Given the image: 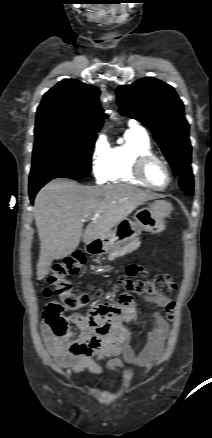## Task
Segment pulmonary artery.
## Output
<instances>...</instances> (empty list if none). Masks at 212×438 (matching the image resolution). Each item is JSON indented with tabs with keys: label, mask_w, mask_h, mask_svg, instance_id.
Wrapping results in <instances>:
<instances>
[{
	"label": "pulmonary artery",
	"mask_w": 212,
	"mask_h": 438,
	"mask_svg": "<svg viewBox=\"0 0 212 438\" xmlns=\"http://www.w3.org/2000/svg\"><path fill=\"white\" fill-rule=\"evenodd\" d=\"M130 127L137 130H143V128L135 121H130Z\"/></svg>",
	"instance_id": "1"
}]
</instances>
